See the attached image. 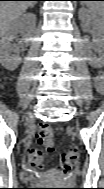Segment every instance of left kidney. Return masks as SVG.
Here are the masks:
<instances>
[{
    "mask_svg": "<svg viewBox=\"0 0 104 189\" xmlns=\"http://www.w3.org/2000/svg\"><path fill=\"white\" fill-rule=\"evenodd\" d=\"M79 18L83 22L85 28L87 29L88 26L91 24L93 27V34L95 37L96 48L95 51L99 54V57H94L91 53H88L87 60L90 65L95 67H100L103 65V46H104V22L103 18L96 15L95 13L81 8L79 10Z\"/></svg>",
    "mask_w": 104,
    "mask_h": 189,
    "instance_id": "obj_1",
    "label": "left kidney"
}]
</instances>
